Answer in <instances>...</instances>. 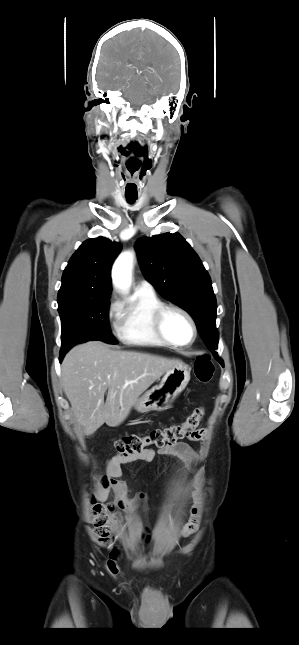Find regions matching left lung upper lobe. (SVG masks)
<instances>
[{
	"mask_svg": "<svg viewBox=\"0 0 299 645\" xmlns=\"http://www.w3.org/2000/svg\"><path fill=\"white\" fill-rule=\"evenodd\" d=\"M145 278L167 300L185 309L215 358L217 303L208 272L189 243L178 233L139 238L135 243Z\"/></svg>",
	"mask_w": 299,
	"mask_h": 645,
	"instance_id": "left-lung-upper-lobe-1",
	"label": "left lung upper lobe"
}]
</instances>
